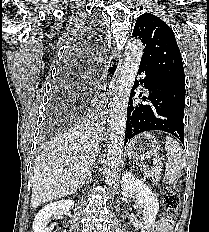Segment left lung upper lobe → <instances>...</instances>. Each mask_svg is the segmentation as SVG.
<instances>
[{"label":"left lung upper lobe","instance_id":"1","mask_svg":"<svg viewBox=\"0 0 209 232\" xmlns=\"http://www.w3.org/2000/svg\"><path fill=\"white\" fill-rule=\"evenodd\" d=\"M145 46L141 63L162 79L185 85L181 53L171 28L157 16L140 15L133 30Z\"/></svg>","mask_w":209,"mask_h":232}]
</instances>
